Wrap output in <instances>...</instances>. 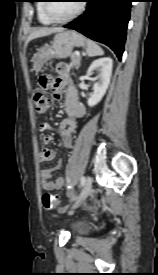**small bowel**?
I'll use <instances>...</instances> for the list:
<instances>
[{
  "label": "small bowel",
  "instance_id": "c3829d8e",
  "mask_svg": "<svg viewBox=\"0 0 158 275\" xmlns=\"http://www.w3.org/2000/svg\"><path fill=\"white\" fill-rule=\"evenodd\" d=\"M55 76H44L49 80V88H53L57 92L66 90V101L64 104L67 118L61 121L58 133L62 139L65 148H71L74 136L77 132V120L85 115L84 105L78 97L76 88L70 80L71 71L66 63H59L56 66ZM52 126L49 123H43L40 131L43 134V143L48 144L51 139ZM56 152L53 149L44 147L40 153V162H48L55 158ZM61 166V161L53 169H44L40 173V184L44 190L54 191L60 189L64 185V178L58 177L52 180V173Z\"/></svg>",
  "mask_w": 158,
  "mask_h": 275
}]
</instances>
